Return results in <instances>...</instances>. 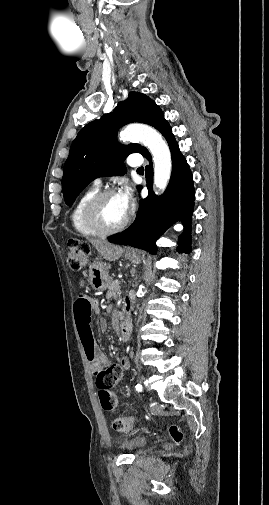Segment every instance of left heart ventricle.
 I'll return each mask as SVG.
<instances>
[{
  "label": "left heart ventricle",
  "mask_w": 269,
  "mask_h": 505,
  "mask_svg": "<svg viewBox=\"0 0 269 505\" xmlns=\"http://www.w3.org/2000/svg\"><path fill=\"white\" fill-rule=\"evenodd\" d=\"M128 213L122 208L117 195L106 198L99 208V217L108 227H114L124 221Z\"/></svg>",
  "instance_id": "obj_1"
}]
</instances>
